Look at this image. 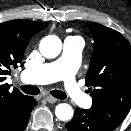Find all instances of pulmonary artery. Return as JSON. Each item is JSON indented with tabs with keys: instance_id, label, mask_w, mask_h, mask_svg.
<instances>
[{
	"instance_id": "pulmonary-artery-1",
	"label": "pulmonary artery",
	"mask_w": 131,
	"mask_h": 131,
	"mask_svg": "<svg viewBox=\"0 0 131 131\" xmlns=\"http://www.w3.org/2000/svg\"><path fill=\"white\" fill-rule=\"evenodd\" d=\"M82 49L83 43L79 38H66L63 52L58 59L24 70L21 73V80L29 84H46L62 80L64 92L73 103L84 107L89 106L91 98L82 91L74 79Z\"/></svg>"
}]
</instances>
